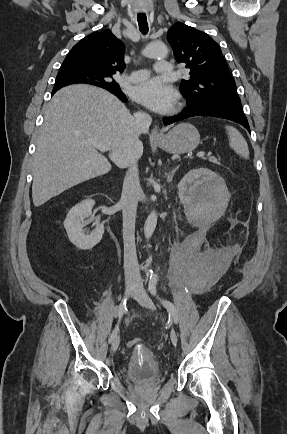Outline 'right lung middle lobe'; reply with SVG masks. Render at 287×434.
<instances>
[{"label": "right lung middle lobe", "instance_id": "1", "mask_svg": "<svg viewBox=\"0 0 287 434\" xmlns=\"http://www.w3.org/2000/svg\"><path fill=\"white\" fill-rule=\"evenodd\" d=\"M112 75L102 74L82 69H61L56 77L55 84L84 83L102 87L108 91H121L119 85L111 80Z\"/></svg>", "mask_w": 287, "mask_h": 434}]
</instances>
